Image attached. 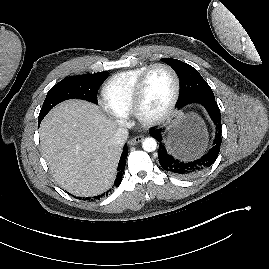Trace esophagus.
<instances>
[{
    "mask_svg": "<svg viewBox=\"0 0 269 269\" xmlns=\"http://www.w3.org/2000/svg\"><path fill=\"white\" fill-rule=\"evenodd\" d=\"M143 139H144V136L142 135L136 136L129 141V144L136 145L137 143H140L141 141H143Z\"/></svg>",
    "mask_w": 269,
    "mask_h": 269,
    "instance_id": "obj_1",
    "label": "esophagus"
}]
</instances>
